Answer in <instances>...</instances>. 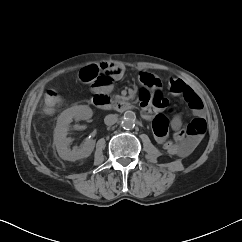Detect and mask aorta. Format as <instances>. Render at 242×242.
<instances>
[{
  "label": "aorta",
  "instance_id": "aorta-1",
  "mask_svg": "<svg viewBox=\"0 0 242 242\" xmlns=\"http://www.w3.org/2000/svg\"><path fill=\"white\" fill-rule=\"evenodd\" d=\"M135 119L136 115L133 111H126L121 121V126L126 130H130L135 126Z\"/></svg>",
  "mask_w": 242,
  "mask_h": 242
}]
</instances>
